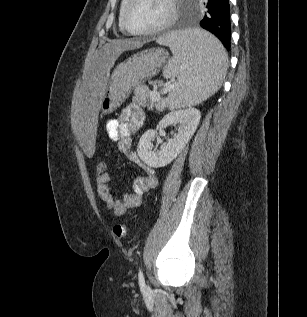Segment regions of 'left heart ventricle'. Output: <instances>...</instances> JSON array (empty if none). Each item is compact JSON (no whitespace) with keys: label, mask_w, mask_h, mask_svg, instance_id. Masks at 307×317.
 Segmentation results:
<instances>
[{"label":"left heart ventricle","mask_w":307,"mask_h":317,"mask_svg":"<svg viewBox=\"0 0 307 317\" xmlns=\"http://www.w3.org/2000/svg\"><path fill=\"white\" fill-rule=\"evenodd\" d=\"M169 13L167 0H134L127 13V21L132 30L143 31L164 22Z\"/></svg>","instance_id":"left-heart-ventricle-1"}]
</instances>
